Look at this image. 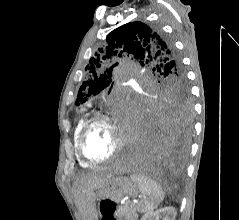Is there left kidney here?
I'll use <instances>...</instances> for the list:
<instances>
[{"instance_id": "left-kidney-1", "label": "left kidney", "mask_w": 239, "mask_h": 220, "mask_svg": "<svg viewBox=\"0 0 239 220\" xmlns=\"http://www.w3.org/2000/svg\"><path fill=\"white\" fill-rule=\"evenodd\" d=\"M177 211L174 207H164L156 211H149L141 220H175Z\"/></svg>"}]
</instances>
